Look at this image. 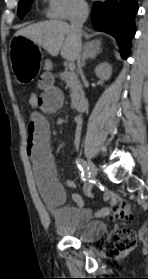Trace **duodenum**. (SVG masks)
Here are the masks:
<instances>
[{
    "label": "duodenum",
    "instance_id": "1",
    "mask_svg": "<svg viewBox=\"0 0 148 279\" xmlns=\"http://www.w3.org/2000/svg\"><path fill=\"white\" fill-rule=\"evenodd\" d=\"M87 105H88V100L85 97L80 98V99L74 101V103H73V106L77 111L84 110L87 107Z\"/></svg>",
    "mask_w": 148,
    "mask_h": 279
}]
</instances>
